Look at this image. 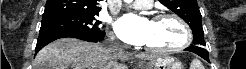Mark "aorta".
<instances>
[{
	"label": "aorta",
	"mask_w": 246,
	"mask_h": 69,
	"mask_svg": "<svg viewBox=\"0 0 246 69\" xmlns=\"http://www.w3.org/2000/svg\"><path fill=\"white\" fill-rule=\"evenodd\" d=\"M125 2L129 3V2H131V0H125Z\"/></svg>",
	"instance_id": "762f6f07"
}]
</instances>
